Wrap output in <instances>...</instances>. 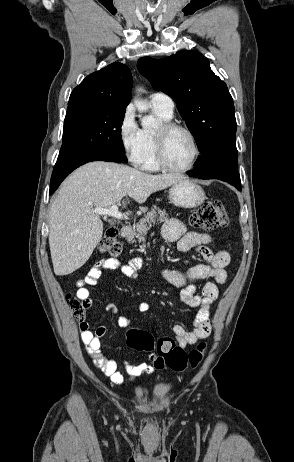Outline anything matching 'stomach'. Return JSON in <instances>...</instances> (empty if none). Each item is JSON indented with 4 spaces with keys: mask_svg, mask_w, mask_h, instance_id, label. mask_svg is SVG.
Masks as SVG:
<instances>
[{
    "mask_svg": "<svg viewBox=\"0 0 294 462\" xmlns=\"http://www.w3.org/2000/svg\"><path fill=\"white\" fill-rule=\"evenodd\" d=\"M205 198L202 187L188 178L178 181L169 189V199L178 207L195 208L201 205Z\"/></svg>",
    "mask_w": 294,
    "mask_h": 462,
    "instance_id": "1",
    "label": "stomach"
}]
</instances>
